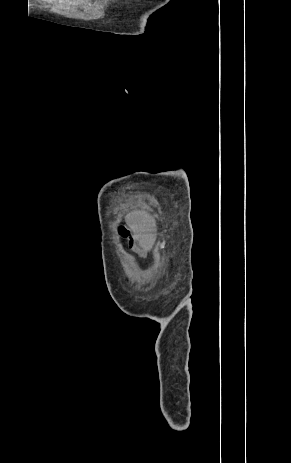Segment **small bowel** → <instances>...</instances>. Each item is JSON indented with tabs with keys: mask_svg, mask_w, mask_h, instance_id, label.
<instances>
[{
	"mask_svg": "<svg viewBox=\"0 0 291 463\" xmlns=\"http://www.w3.org/2000/svg\"><path fill=\"white\" fill-rule=\"evenodd\" d=\"M124 237L130 238L128 234H126ZM129 244L131 249L136 252L140 257H145L146 256V248L139 246L138 242L134 238H130Z\"/></svg>",
	"mask_w": 291,
	"mask_h": 463,
	"instance_id": "c3829d8e",
	"label": "small bowel"
}]
</instances>
